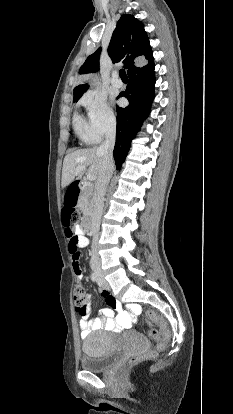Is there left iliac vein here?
<instances>
[{"mask_svg":"<svg viewBox=\"0 0 233 414\" xmlns=\"http://www.w3.org/2000/svg\"><path fill=\"white\" fill-rule=\"evenodd\" d=\"M98 284H99L100 286H103V285H104V281H103L101 278H99V282H98Z\"/></svg>","mask_w":233,"mask_h":414,"instance_id":"left-iliac-vein-1","label":"left iliac vein"}]
</instances>
